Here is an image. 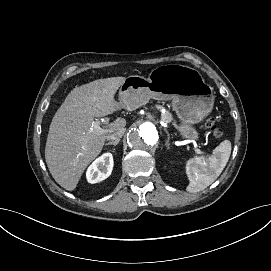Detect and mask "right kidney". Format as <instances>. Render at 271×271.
<instances>
[{"mask_svg": "<svg viewBox=\"0 0 271 271\" xmlns=\"http://www.w3.org/2000/svg\"><path fill=\"white\" fill-rule=\"evenodd\" d=\"M113 165L112 154L104 153L88 167L86 172L87 181L94 184L105 180L111 175Z\"/></svg>", "mask_w": 271, "mask_h": 271, "instance_id": "right-kidney-1", "label": "right kidney"}]
</instances>
